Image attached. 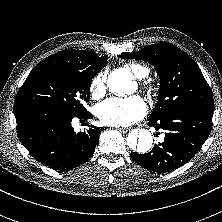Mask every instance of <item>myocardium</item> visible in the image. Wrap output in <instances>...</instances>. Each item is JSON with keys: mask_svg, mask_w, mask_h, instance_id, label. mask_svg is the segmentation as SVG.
<instances>
[{"mask_svg": "<svg viewBox=\"0 0 222 222\" xmlns=\"http://www.w3.org/2000/svg\"><path fill=\"white\" fill-rule=\"evenodd\" d=\"M144 88H146L148 91H152L154 89L153 85L149 82L144 83Z\"/></svg>", "mask_w": 222, "mask_h": 222, "instance_id": "f54148a6", "label": "myocardium"}]
</instances>
